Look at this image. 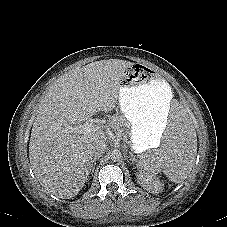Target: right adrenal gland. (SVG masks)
I'll list each match as a JSON object with an SVG mask.
<instances>
[{"mask_svg":"<svg viewBox=\"0 0 227 227\" xmlns=\"http://www.w3.org/2000/svg\"><path fill=\"white\" fill-rule=\"evenodd\" d=\"M98 159H99L98 157H95V158L92 160V166H91V171H92V173H93L94 170H95L96 161H97Z\"/></svg>","mask_w":227,"mask_h":227,"instance_id":"2a0ac1e0","label":"right adrenal gland"}]
</instances>
